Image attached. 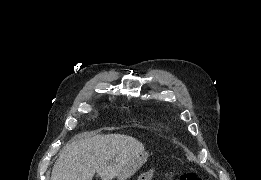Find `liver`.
Listing matches in <instances>:
<instances>
[{
    "instance_id": "6515ba94",
    "label": "liver",
    "mask_w": 261,
    "mask_h": 180,
    "mask_svg": "<svg viewBox=\"0 0 261 180\" xmlns=\"http://www.w3.org/2000/svg\"><path fill=\"white\" fill-rule=\"evenodd\" d=\"M143 152L144 144L132 136H80L62 150L50 180H92L95 174L101 180H113L126 164Z\"/></svg>"
}]
</instances>
